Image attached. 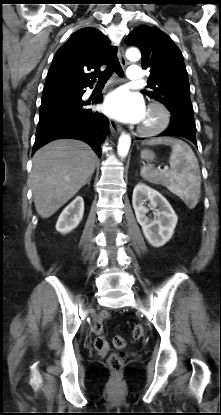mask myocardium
<instances>
[{
    "mask_svg": "<svg viewBox=\"0 0 221 415\" xmlns=\"http://www.w3.org/2000/svg\"><path fill=\"white\" fill-rule=\"evenodd\" d=\"M147 110H155L158 113V120L154 125H140L138 132L144 136H153L163 132L169 125L171 114L168 108L161 102L153 101L147 106Z\"/></svg>",
    "mask_w": 221,
    "mask_h": 415,
    "instance_id": "myocardium-1",
    "label": "myocardium"
}]
</instances>
